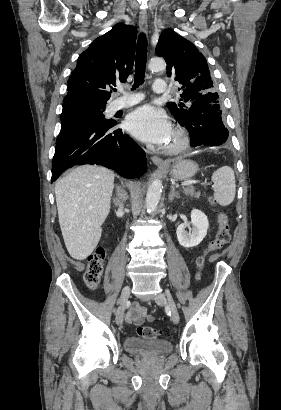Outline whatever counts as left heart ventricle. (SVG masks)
Listing matches in <instances>:
<instances>
[{
  "label": "left heart ventricle",
  "mask_w": 281,
  "mask_h": 410,
  "mask_svg": "<svg viewBox=\"0 0 281 410\" xmlns=\"http://www.w3.org/2000/svg\"><path fill=\"white\" fill-rule=\"evenodd\" d=\"M174 137H173V135L171 136V138H170V140L167 142V144H166V146H171V145H173L174 144Z\"/></svg>",
  "instance_id": "b2bd125f"
}]
</instances>
